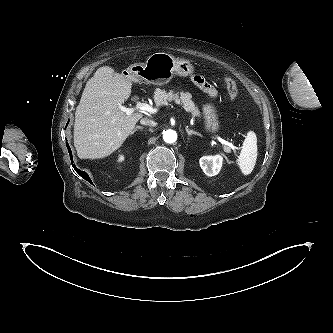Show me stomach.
Here are the masks:
<instances>
[{
  "label": "stomach",
  "mask_w": 333,
  "mask_h": 333,
  "mask_svg": "<svg viewBox=\"0 0 333 333\" xmlns=\"http://www.w3.org/2000/svg\"><path fill=\"white\" fill-rule=\"evenodd\" d=\"M194 66L187 60L177 59L167 53H154L145 63H134L127 69V76L133 81H145L149 84H167L174 75L188 76L193 73ZM205 129L216 133L220 128L218 114L211 103L203 105Z\"/></svg>",
  "instance_id": "obj_1"
}]
</instances>
